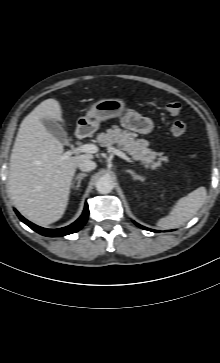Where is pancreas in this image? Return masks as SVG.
Here are the masks:
<instances>
[{"instance_id":"cf45deb5","label":"pancreas","mask_w":220,"mask_h":363,"mask_svg":"<svg viewBox=\"0 0 220 363\" xmlns=\"http://www.w3.org/2000/svg\"><path fill=\"white\" fill-rule=\"evenodd\" d=\"M137 134L122 130L119 127L107 129L106 133L97 136V142L102 147L110 148L113 144L132 156L134 160H139L146 167L153 170L161 167V162L165 161L158 158L159 153L148 148L149 142L145 139H136Z\"/></svg>"}]
</instances>
